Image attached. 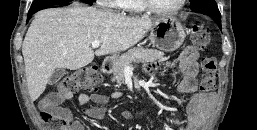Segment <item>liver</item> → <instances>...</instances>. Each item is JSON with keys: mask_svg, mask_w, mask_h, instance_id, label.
Listing matches in <instances>:
<instances>
[{"mask_svg": "<svg viewBox=\"0 0 257 130\" xmlns=\"http://www.w3.org/2000/svg\"><path fill=\"white\" fill-rule=\"evenodd\" d=\"M159 19L129 18L93 7L53 8L38 12L22 44L30 98L45 91L56 69L77 70L94 55L125 51L142 40ZM101 41L95 52L93 41Z\"/></svg>", "mask_w": 257, "mask_h": 130, "instance_id": "1", "label": "liver"}]
</instances>
